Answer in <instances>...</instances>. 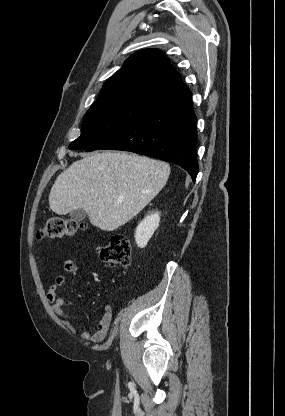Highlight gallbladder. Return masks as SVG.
I'll list each match as a JSON object with an SVG mask.
<instances>
[{
  "label": "gallbladder",
  "mask_w": 285,
  "mask_h": 416,
  "mask_svg": "<svg viewBox=\"0 0 285 416\" xmlns=\"http://www.w3.org/2000/svg\"><path fill=\"white\" fill-rule=\"evenodd\" d=\"M70 216L73 220H75V222H82V220L86 218L87 214L84 210H73V212H70Z\"/></svg>",
  "instance_id": "1"
}]
</instances>
